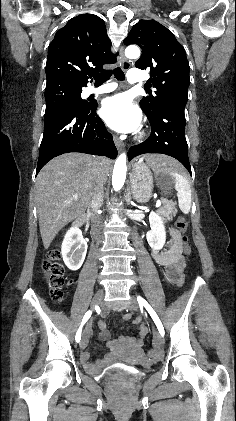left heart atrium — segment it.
I'll return each instance as SVG.
<instances>
[{
  "label": "left heart atrium",
  "mask_w": 236,
  "mask_h": 421,
  "mask_svg": "<svg viewBox=\"0 0 236 421\" xmlns=\"http://www.w3.org/2000/svg\"><path fill=\"white\" fill-rule=\"evenodd\" d=\"M100 115L110 128L119 132L136 131L142 122L140 112L124 94L104 99Z\"/></svg>",
  "instance_id": "39dd6f15"
}]
</instances>
